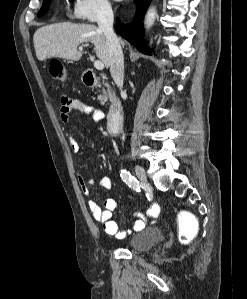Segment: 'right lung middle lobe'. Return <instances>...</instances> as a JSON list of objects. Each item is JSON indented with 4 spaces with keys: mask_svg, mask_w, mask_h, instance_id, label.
<instances>
[{
    "mask_svg": "<svg viewBox=\"0 0 247 299\" xmlns=\"http://www.w3.org/2000/svg\"><path fill=\"white\" fill-rule=\"evenodd\" d=\"M51 0H44L43 5L38 13V16H43L47 13L49 6H50Z\"/></svg>",
    "mask_w": 247,
    "mask_h": 299,
    "instance_id": "dd1d6c3e",
    "label": "right lung middle lobe"
}]
</instances>
